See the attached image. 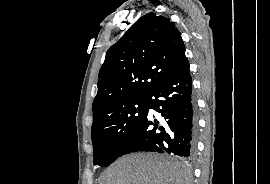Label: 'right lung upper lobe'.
Returning <instances> with one entry per match:
<instances>
[{"label": "right lung upper lobe", "instance_id": "1", "mask_svg": "<svg viewBox=\"0 0 270 184\" xmlns=\"http://www.w3.org/2000/svg\"><path fill=\"white\" fill-rule=\"evenodd\" d=\"M185 59L181 34L168 18L152 12L139 18L106 53L93 123L127 101L147 97Z\"/></svg>", "mask_w": 270, "mask_h": 184}]
</instances>
